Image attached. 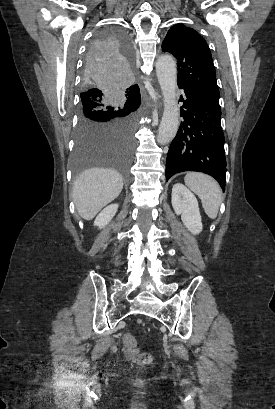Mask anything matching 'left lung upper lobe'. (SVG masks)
Wrapping results in <instances>:
<instances>
[{
	"instance_id": "left-lung-upper-lobe-1",
	"label": "left lung upper lobe",
	"mask_w": 275,
	"mask_h": 409,
	"mask_svg": "<svg viewBox=\"0 0 275 409\" xmlns=\"http://www.w3.org/2000/svg\"><path fill=\"white\" fill-rule=\"evenodd\" d=\"M162 50L170 52L177 59L178 84L189 85L219 97L211 53L199 33L176 24L168 31Z\"/></svg>"
}]
</instances>
